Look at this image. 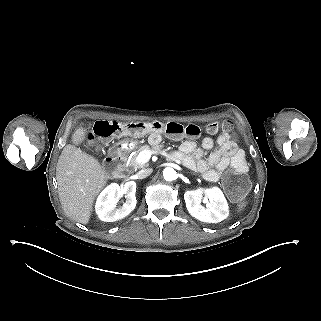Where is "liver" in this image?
Listing matches in <instances>:
<instances>
[{
  "label": "liver",
  "mask_w": 321,
  "mask_h": 321,
  "mask_svg": "<svg viewBox=\"0 0 321 321\" xmlns=\"http://www.w3.org/2000/svg\"><path fill=\"white\" fill-rule=\"evenodd\" d=\"M85 137L86 130L78 128L72 135L74 145L63 148L56 167L62 208L67 216L81 224L89 222L94 199L106 184L98 160L75 146Z\"/></svg>",
  "instance_id": "6515ba94"
}]
</instances>
